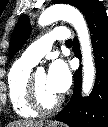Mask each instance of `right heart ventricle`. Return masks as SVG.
I'll use <instances>...</instances> for the list:
<instances>
[{"instance_id":"1","label":"right heart ventricle","mask_w":108,"mask_h":127,"mask_svg":"<svg viewBox=\"0 0 108 127\" xmlns=\"http://www.w3.org/2000/svg\"><path fill=\"white\" fill-rule=\"evenodd\" d=\"M33 66L21 58L12 65L7 78L8 95L12 108L17 115L24 118H32L38 114L30 106L27 98V84Z\"/></svg>"}]
</instances>
